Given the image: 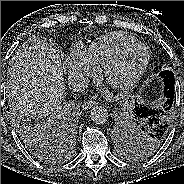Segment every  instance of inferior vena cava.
<instances>
[{
  "mask_svg": "<svg viewBox=\"0 0 184 184\" xmlns=\"http://www.w3.org/2000/svg\"><path fill=\"white\" fill-rule=\"evenodd\" d=\"M68 82L74 92H79L87 88L89 80L81 75H72L68 78Z\"/></svg>",
  "mask_w": 184,
  "mask_h": 184,
  "instance_id": "1",
  "label": "inferior vena cava"
}]
</instances>
